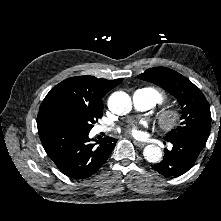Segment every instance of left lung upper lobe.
I'll return each instance as SVG.
<instances>
[{
  "label": "left lung upper lobe",
  "mask_w": 221,
  "mask_h": 221,
  "mask_svg": "<svg viewBox=\"0 0 221 221\" xmlns=\"http://www.w3.org/2000/svg\"><path fill=\"white\" fill-rule=\"evenodd\" d=\"M139 79L152 82L175 96L182 107L181 125L167 133L166 140L211 128L209 104L201 90L190 80L166 67L147 69Z\"/></svg>",
  "instance_id": "left-lung-upper-lobe-1"
}]
</instances>
